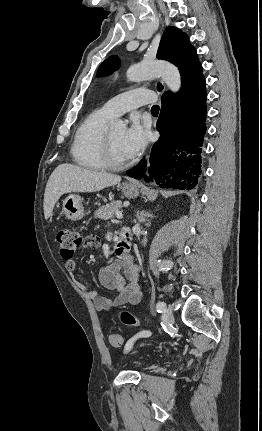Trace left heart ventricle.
Listing matches in <instances>:
<instances>
[{"label":"left heart ventricle","mask_w":262,"mask_h":431,"mask_svg":"<svg viewBox=\"0 0 262 431\" xmlns=\"http://www.w3.org/2000/svg\"><path fill=\"white\" fill-rule=\"evenodd\" d=\"M125 131L123 129L110 130L111 144L114 155L119 161H128V158L123 154L121 150V140Z\"/></svg>","instance_id":"left-heart-ventricle-1"}]
</instances>
